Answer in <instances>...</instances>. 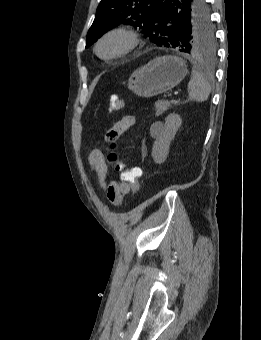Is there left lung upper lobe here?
<instances>
[{"instance_id":"5c2ea615","label":"left lung upper lobe","mask_w":261,"mask_h":340,"mask_svg":"<svg viewBox=\"0 0 261 340\" xmlns=\"http://www.w3.org/2000/svg\"><path fill=\"white\" fill-rule=\"evenodd\" d=\"M165 0H102L87 33L86 48L108 30L127 24L139 27L158 46L177 48L194 55H212L216 49L215 33L204 0L193 14L171 24L159 17Z\"/></svg>"}]
</instances>
